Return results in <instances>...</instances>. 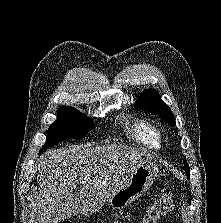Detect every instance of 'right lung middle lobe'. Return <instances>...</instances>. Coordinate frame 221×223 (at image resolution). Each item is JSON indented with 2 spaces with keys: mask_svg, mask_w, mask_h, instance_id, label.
<instances>
[{
  "mask_svg": "<svg viewBox=\"0 0 221 223\" xmlns=\"http://www.w3.org/2000/svg\"><path fill=\"white\" fill-rule=\"evenodd\" d=\"M57 114L58 119L49 127L46 143L39 153L63 140L84 138L95 127L91 119L73 107L61 106Z\"/></svg>",
  "mask_w": 221,
  "mask_h": 223,
  "instance_id": "obj_1",
  "label": "right lung middle lobe"
}]
</instances>
